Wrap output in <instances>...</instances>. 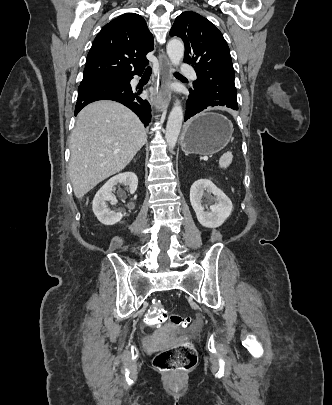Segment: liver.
I'll list each match as a JSON object with an SVG mask.
<instances>
[{
    "instance_id": "liver-1",
    "label": "liver",
    "mask_w": 332,
    "mask_h": 405,
    "mask_svg": "<svg viewBox=\"0 0 332 405\" xmlns=\"http://www.w3.org/2000/svg\"><path fill=\"white\" fill-rule=\"evenodd\" d=\"M147 142L139 118L115 101H96L78 114L70 137L68 174L77 198L123 170Z\"/></svg>"
}]
</instances>
